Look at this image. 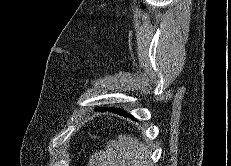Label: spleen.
Returning a JSON list of instances; mask_svg holds the SVG:
<instances>
[{"mask_svg":"<svg viewBox=\"0 0 231 166\" xmlns=\"http://www.w3.org/2000/svg\"><path fill=\"white\" fill-rule=\"evenodd\" d=\"M91 166H153L147 147L130 135H119L109 141L105 151L95 153Z\"/></svg>","mask_w":231,"mask_h":166,"instance_id":"spleen-1","label":"spleen"}]
</instances>
